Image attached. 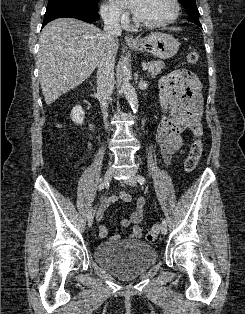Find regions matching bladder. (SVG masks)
<instances>
[{"label":"bladder","mask_w":245,"mask_h":314,"mask_svg":"<svg viewBox=\"0 0 245 314\" xmlns=\"http://www.w3.org/2000/svg\"><path fill=\"white\" fill-rule=\"evenodd\" d=\"M93 256L97 263L121 277L141 274L158 259L156 248L142 240L101 243L94 247Z\"/></svg>","instance_id":"31cf9c89"}]
</instances>
